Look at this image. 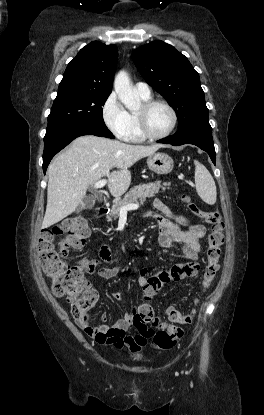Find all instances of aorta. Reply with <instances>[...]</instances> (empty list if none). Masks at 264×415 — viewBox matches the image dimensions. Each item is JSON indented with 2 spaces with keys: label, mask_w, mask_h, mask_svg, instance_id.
<instances>
[{
  "label": "aorta",
  "mask_w": 264,
  "mask_h": 415,
  "mask_svg": "<svg viewBox=\"0 0 264 415\" xmlns=\"http://www.w3.org/2000/svg\"><path fill=\"white\" fill-rule=\"evenodd\" d=\"M114 89L121 102L129 110H135L140 105V99L133 90L127 72L120 71L114 79Z\"/></svg>",
  "instance_id": "1"
}]
</instances>
